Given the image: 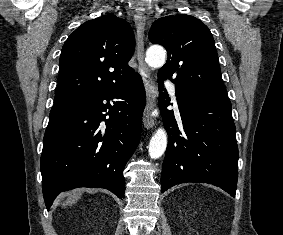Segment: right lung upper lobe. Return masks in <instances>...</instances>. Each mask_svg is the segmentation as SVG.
Listing matches in <instances>:
<instances>
[{"label": "right lung upper lobe", "instance_id": "cb5924a9", "mask_svg": "<svg viewBox=\"0 0 283 235\" xmlns=\"http://www.w3.org/2000/svg\"><path fill=\"white\" fill-rule=\"evenodd\" d=\"M135 49L130 25L112 14L86 21L66 40L60 55L55 104L74 103L130 80Z\"/></svg>", "mask_w": 283, "mask_h": 235}]
</instances>
